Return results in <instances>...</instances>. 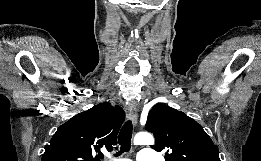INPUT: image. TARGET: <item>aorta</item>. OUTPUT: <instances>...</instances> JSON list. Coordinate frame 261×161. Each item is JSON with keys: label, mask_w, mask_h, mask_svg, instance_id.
Masks as SVG:
<instances>
[{"label": "aorta", "mask_w": 261, "mask_h": 161, "mask_svg": "<svg viewBox=\"0 0 261 161\" xmlns=\"http://www.w3.org/2000/svg\"><path fill=\"white\" fill-rule=\"evenodd\" d=\"M154 138L150 133L141 132L136 134L134 138L135 145H153Z\"/></svg>", "instance_id": "1"}]
</instances>
